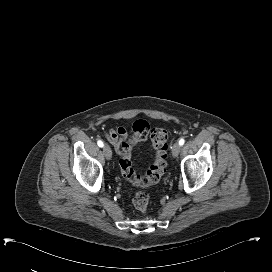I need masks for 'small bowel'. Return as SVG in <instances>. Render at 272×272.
Returning a JSON list of instances; mask_svg holds the SVG:
<instances>
[{"label": "small bowel", "instance_id": "obj_1", "mask_svg": "<svg viewBox=\"0 0 272 272\" xmlns=\"http://www.w3.org/2000/svg\"><path fill=\"white\" fill-rule=\"evenodd\" d=\"M106 138L120 155L121 145L128 141V131L123 126H117L106 133Z\"/></svg>", "mask_w": 272, "mask_h": 272}]
</instances>
